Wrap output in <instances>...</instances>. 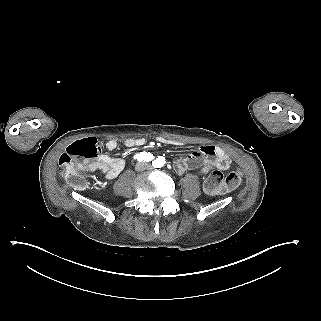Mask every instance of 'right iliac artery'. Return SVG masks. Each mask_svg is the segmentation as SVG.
I'll use <instances>...</instances> for the list:
<instances>
[{
	"label": "right iliac artery",
	"instance_id": "82829eb1",
	"mask_svg": "<svg viewBox=\"0 0 321 321\" xmlns=\"http://www.w3.org/2000/svg\"><path fill=\"white\" fill-rule=\"evenodd\" d=\"M154 158V156L149 153V152H141L137 155L134 156V159H136L137 161L141 162V161H151Z\"/></svg>",
	"mask_w": 321,
	"mask_h": 321
}]
</instances>
